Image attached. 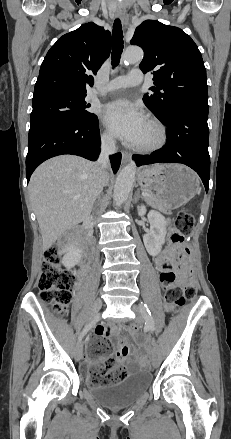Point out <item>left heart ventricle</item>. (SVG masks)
Wrapping results in <instances>:
<instances>
[{"label": "left heart ventricle", "mask_w": 231, "mask_h": 439, "mask_svg": "<svg viewBox=\"0 0 231 439\" xmlns=\"http://www.w3.org/2000/svg\"><path fill=\"white\" fill-rule=\"evenodd\" d=\"M155 139H156V130L152 125H150L147 122L138 144L150 143Z\"/></svg>", "instance_id": "1"}]
</instances>
